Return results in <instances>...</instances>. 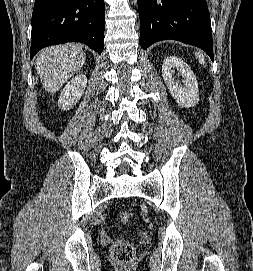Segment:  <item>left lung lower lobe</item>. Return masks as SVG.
Returning a JSON list of instances; mask_svg holds the SVG:
<instances>
[{"instance_id": "0a47b994", "label": "left lung lower lobe", "mask_w": 253, "mask_h": 271, "mask_svg": "<svg viewBox=\"0 0 253 271\" xmlns=\"http://www.w3.org/2000/svg\"><path fill=\"white\" fill-rule=\"evenodd\" d=\"M140 46L173 39L203 49L213 60L210 14L206 0H137Z\"/></svg>"}]
</instances>
